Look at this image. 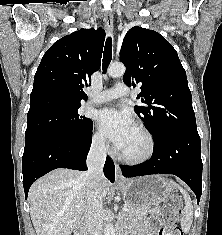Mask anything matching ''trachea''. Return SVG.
I'll return each instance as SVG.
<instances>
[{
	"label": "trachea",
	"instance_id": "obj_1",
	"mask_svg": "<svg viewBox=\"0 0 222 235\" xmlns=\"http://www.w3.org/2000/svg\"><path fill=\"white\" fill-rule=\"evenodd\" d=\"M111 60H112V39L111 37H108L106 39L104 53H103V60H102L103 61L102 63L103 73L106 72Z\"/></svg>",
	"mask_w": 222,
	"mask_h": 235
}]
</instances>
